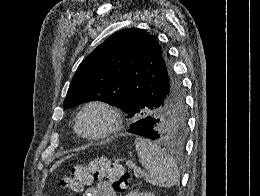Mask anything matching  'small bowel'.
<instances>
[{
    "instance_id": "obj_1",
    "label": "small bowel",
    "mask_w": 260,
    "mask_h": 196,
    "mask_svg": "<svg viewBox=\"0 0 260 196\" xmlns=\"http://www.w3.org/2000/svg\"><path fill=\"white\" fill-rule=\"evenodd\" d=\"M85 196H116L109 181H99L95 186L87 189Z\"/></svg>"
}]
</instances>
